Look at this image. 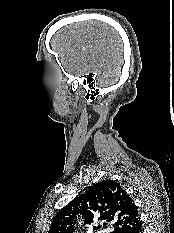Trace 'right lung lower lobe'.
<instances>
[{
  "label": "right lung lower lobe",
  "instance_id": "1",
  "mask_svg": "<svg viewBox=\"0 0 174 233\" xmlns=\"http://www.w3.org/2000/svg\"><path fill=\"white\" fill-rule=\"evenodd\" d=\"M133 233H142V225H140Z\"/></svg>",
  "mask_w": 174,
  "mask_h": 233
}]
</instances>
